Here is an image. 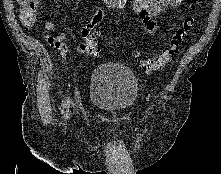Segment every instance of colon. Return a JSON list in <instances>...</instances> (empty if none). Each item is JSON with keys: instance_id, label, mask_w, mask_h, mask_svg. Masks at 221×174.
I'll return each mask as SVG.
<instances>
[{"instance_id": "5ec220e1", "label": "colon", "mask_w": 221, "mask_h": 174, "mask_svg": "<svg viewBox=\"0 0 221 174\" xmlns=\"http://www.w3.org/2000/svg\"><path fill=\"white\" fill-rule=\"evenodd\" d=\"M17 2L21 6L20 18L22 23L27 27L32 26L36 20V7L39 0H17ZM197 3L198 0H189V4L192 8H194ZM193 26L194 18L192 16L186 17L173 32L169 46L159 53L141 59L139 63L140 66L147 71L162 69L176 55L179 45L183 42L184 38ZM82 37L83 42L79 46L81 53L85 56H94L99 49L97 42L98 33L83 31Z\"/></svg>"}]
</instances>
